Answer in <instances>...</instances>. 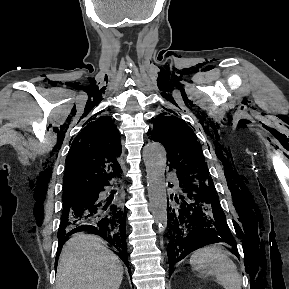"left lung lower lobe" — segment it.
<instances>
[{
    "instance_id": "1",
    "label": "left lung lower lobe",
    "mask_w": 289,
    "mask_h": 289,
    "mask_svg": "<svg viewBox=\"0 0 289 289\" xmlns=\"http://www.w3.org/2000/svg\"><path fill=\"white\" fill-rule=\"evenodd\" d=\"M177 177L180 191L170 196L169 207L167 201L170 274L175 263L206 244L226 242L236 248L214 185ZM205 240L209 242L201 245Z\"/></svg>"
}]
</instances>
